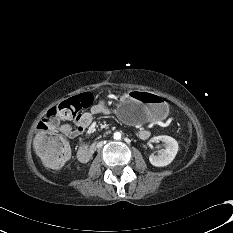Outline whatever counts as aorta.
Masks as SVG:
<instances>
[{
  "label": "aorta",
  "instance_id": "obj_1",
  "mask_svg": "<svg viewBox=\"0 0 233 233\" xmlns=\"http://www.w3.org/2000/svg\"><path fill=\"white\" fill-rule=\"evenodd\" d=\"M113 137H114L115 140H120L121 139V133L120 132H115Z\"/></svg>",
  "mask_w": 233,
  "mask_h": 233
}]
</instances>
